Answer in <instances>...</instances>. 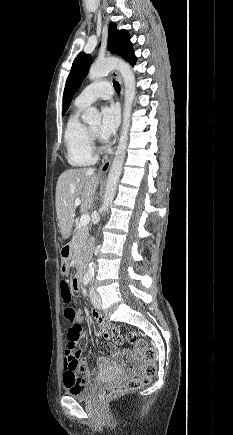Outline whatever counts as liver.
<instances>
[{"label": "liver", "mask_w": 233, "mask_h": 435, "mask_svg": "<svg viewBox=\"0 0 233 435\" xmlns=\"http://www.w3.org/2000/svg\"><path fill=\"white\" fill-rule=\"evenodd\" d=\"M100 177L93 168L65 170L56 185V212L63 239L70 237L75 217V199H81V211L90 209Z\"/></svg>", "instance_id": "6515ba94"}]
</instances>
